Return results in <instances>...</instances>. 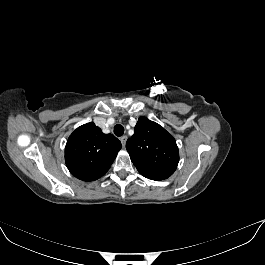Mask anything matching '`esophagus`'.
<instances>
[{"instance_id":"esophagus-1","label":"esophagus","mask_w":265,"mask_h":265,"mask_svg":"<svg viewBox=\"0 0 265 265\" xmlns=\"http://www.w3.org/2000/svg\"><path fill=\"white\" fill-rule=\"evenodd\" d=\"M120 141H121L123 147H125V144H126V141H127V136H125V135L122 136V137L120 138Z\"/></svg>"}]
</instances>
